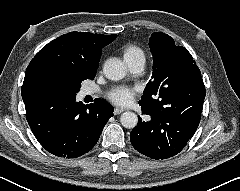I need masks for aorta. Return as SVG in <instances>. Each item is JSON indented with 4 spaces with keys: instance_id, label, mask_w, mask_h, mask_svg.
Masks as SVG:
<instances>
[{
    "instance_id": "1",
    "label": "aorta",
    "mask_w": 240,
    "mask_h": 191,
    "mask_svg": "<svg viewBox=\"0 0 240 191\" xmlns=\"http://www.w3.org/2000/svg\"><path fill=\"white\" fill-rule=\"evenodd\" d=\"M103 72L109 80L118 81L125 77L127 69L121 60L110 58L105 62ZM120 122L123 127L133 129L138 123V117L135 113L127 111L121 115Z\"/></svg>"
}]
</instances>
